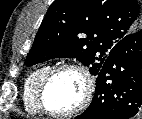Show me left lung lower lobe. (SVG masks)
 <instances>
[{"label": "left lung lower lobe", "instance_id": "0a47b994", "mask_svg": "<svg viewBox=\"0 0 142 119\" xmlns=\"http://www.w3.org/2000/svg\"><path fill=\"white\" fill-rule=\"evenodd\" d=\"M142 113V29L108 53L87 110L76 119H131Z\"/></svg>", "mask_w": 142, "mask_h": 119}]
</instances>
